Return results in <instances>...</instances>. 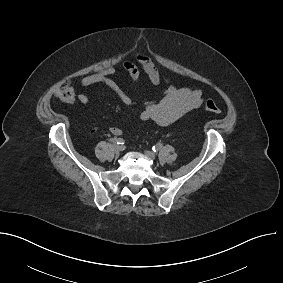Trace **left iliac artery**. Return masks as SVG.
<instances>
[{"instance_id":"44dca946","label":"left iliac artery","mask_w":283,"mask_h":283,"mask_svg":"<svg viewBox=\"0 0 283 283\" xmlns=\"http://www.w3.org/2000/svg\"><path fill=\"white\" fill-rule=\"evenodd\" d=\"M162 147H163V145L161 143H158V144H156L152 147V150L154 152H158Z\"/></svg>"}]
</instances>
